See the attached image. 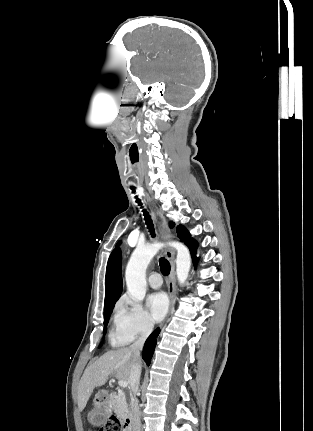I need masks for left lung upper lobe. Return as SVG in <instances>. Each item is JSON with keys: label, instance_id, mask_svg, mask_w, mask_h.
<instances>
[{"label": "left lung upper lobe", "instance_id": "obj_1", "mask_svg": "<svg viewBox=\"0 0 313 431\" xmlns=\"http://www.w3.org/2000/svg\"><path fill=\"white\" fill-rule=\"evenodd\" d=\"M174 223L173 222H171L170 223V227L172 228V227H174ZM176 232H177V236H178V238L182 241V242H184L185 244H188L192 239H190V233L187 231V229L186 228H184L182 225H178L177 227H176ZM118 244H120V242L118 243Z\"/></svg>", "mask_w": 313, "mask_h": 431}]
</instances>
